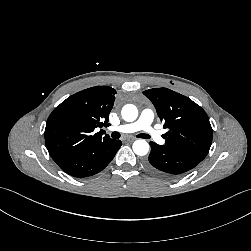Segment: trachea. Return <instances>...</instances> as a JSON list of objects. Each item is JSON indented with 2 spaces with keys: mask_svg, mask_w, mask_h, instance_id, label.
Listing matches in <instances>:
<instances>
[{
  "mask_svg": "<svg viewBox=\"0 0 251 251\" xmlns=\"http://www.w3.org/2000/svg\"><path fill=\"white\" fill-rule=\"evenodd\" d=\"M111 136H112L113 139H119L120 138V133L119 132H113L111 134ZM137 137L143 138V139H149V136L147 134H144V133L138 134Z\"/></svg>",
  "mask_w": 251,
  "mask_h": 251,
  "instance_id": "obj_1",
  "label": "trachea"
}]
</instances>
